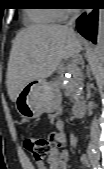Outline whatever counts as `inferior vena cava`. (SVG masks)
<instances>
[{
	"instance_id": "1",
	"label": "inferior vena cava",
	"mask_w": 104,
	"mask_h": 169,
	"mask_svg": "<svg viewBox=\"0 0 104 169\" xmlns=\"http://www.w3.org/2000/svg\"><path fill=\"white\" fill-rule=\"evenodd\" d=\"M75 18L76 16L72 17L71 20L65 25V27L72 32H74L73 27H74ZM99 133H100L99 125H98L97 118L95 117L90 126V138L94 146L98 144Z\"/></svg>"
}]
</instances>
